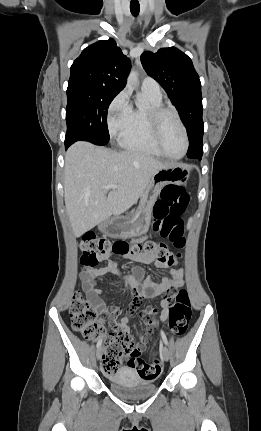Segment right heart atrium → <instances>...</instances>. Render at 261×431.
I'll use <instances>...</instances> for the list:
<instances>
[{
    "instance_id": "right-heart-atrium-1",
    "label": "right heart atrium",
    "mask_w": 261,
    "mask_h": 431,
    "mask_svg": "<svg viewBox=\"0 0 261 431\" xmlns=\"http://www.w3.org/2000/svg\"><path fill=\"white\" fill-rule=\"evenodd\" d=\"M132 113L129 92L122 90L110 103L107 124L112 136L120 135L128 124Z\"/></svg>"
}]
</instances>
